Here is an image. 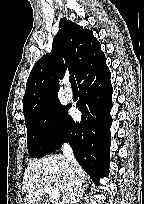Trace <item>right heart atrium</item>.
<instances>
[{"label":"right heart atrium","mask_w":144,"mask_h":204,"mask_svg":"<svg viewBox=\"0 0 144 204\" xmlns=\"http://www.w3.org/2000/svg\"><path fill=\"white\" fill-rule=\"evenodd\" d=\"M46 133L48 136H52L55 132L56 126H55V121L53 118H50L46 122Z\"/></svg>","instance_id":"right-heart-atrium-1"}]
</instances>
